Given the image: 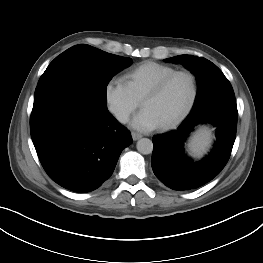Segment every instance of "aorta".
<instances>
[{
    "mask_svg": "<svg viewBox=\"0 0 263 263\" xmlns=\"http://www.w3.org/2000/svg\"><path fill=\"white\" fill-rule=\"evenodd\" d=\"M136 147L138 152L144 155L151 154L153 151V143L148 138L138 140Z\"/></svg>",
    "mask_w": 263,
    "mask_h": 263,
    "instance_id": "762f6f07",
    "label": "aorta"
}]
</instances>
